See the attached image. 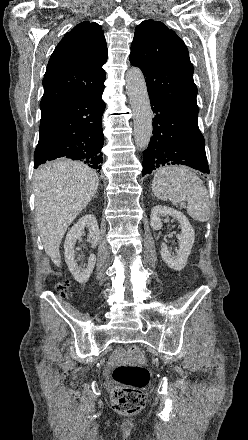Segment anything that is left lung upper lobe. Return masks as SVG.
<instances>
[{
    "label": "left lung upper lobe",
    "instance_id": "1",
    "mask_svg": "<svg viewBox=\"0 0 248 440\" xmlns=\"http://www.w3.org/2000/svg\"><path fill=\"white\" fill-rule=\"evenodd\" d=\"M129 59L142 70L149 97L198 124L193 65L186 45L173 30L160 21H143L135 29Z\"/></svg>",
    "mask_w": 248,
    "mask_h": 440
}]
</instances>
